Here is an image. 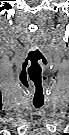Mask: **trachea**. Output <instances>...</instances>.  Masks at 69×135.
Listing matches in <instances>:
<instances>
[{"label": "trachea", "instance_id": "1", "mask_svg": "<svg viewBox=\"0 0 69 135\" xmlns=\"http://www.w3.org/2000/svg\"><path fill=\"white\" fill-rule=\"evenodd\" d=\"M34 104V106L36 107V108H40V107H42V105H43V103H38V102H35V103H33Z\"/></svg>", "mask_w": 69, "mask_h": 135}]
</instances>
